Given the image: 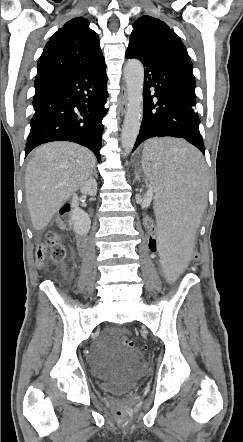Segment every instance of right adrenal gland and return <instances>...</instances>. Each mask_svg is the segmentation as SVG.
Wrapping results in <instances>:
<instances>
[{"label":"right adrenal gland","instance_id":"right-adrenal-gland-1","mask_svg":"<svg viewBox=\"0 0 243 442\" xmlns=\"http://www.w3.org/2000/svg\"><path fill=\"white\" fill-rule=\"evenodd\" d=\"M93 175L97 178L96 170L94 169Z\"/></svg>","mask_w":243,"mask_h":442}]
</instances>
